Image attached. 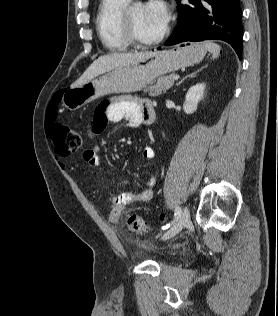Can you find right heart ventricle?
Returning a JSON list of instances; mask_svg holds the SVG:
<instances>
[{"label": "right heart ventricle", "mask_w": 278, "mask_h": 316, "mask_svg": "<svg viewBox=\"0 0 278 316\" xmlns=\"http://www.w3.org/2000/svg\"><path fill=\"white\" fill-rule=\"evenodd\" d=\"M130 0H101L96 28L103 46L110 51H124L130 46L124 28L123 13Z\"/></svg>", "instance_id": "obj_1"}]
</instances>
